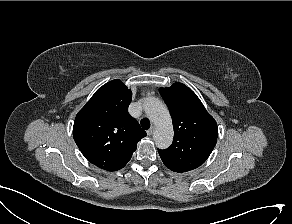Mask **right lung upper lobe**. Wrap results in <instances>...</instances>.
<instances>
[{
	"instance_id": "obj_1",
	"label": "right lung upper lobe",
	"mask_w": 292,
	"mask_h": 224,
	"mask_svg": "<svg viewBox=\"0 0 292 224\" xmlns=\"http://www.w3.org/2000/svg\"><path fill=\"white\" fill-rule=\"evenodd\" d=\"M131 97L132 91L121 80H112L99 88L76 115L74 140L85 158L99 168H123L138 141L146 136L128 114Z\"/></svg>"
}]
</instances>
